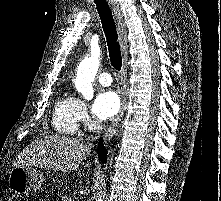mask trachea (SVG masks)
<instances>
[{
  "label": "trachea",
  "instance_id": "trachea-1",
  "mask_svg": "<svg viewBox=\"0 0 221 201\" xmlns=\"http://www.w3.org/2000/svg\"><path fill=\"white\" fill-rule=\"evenodd\" d=\"M94 1L107 39L111 65L119 71L122 66V56L113 15L105 0Z\"/></svg>",
  "mask_w": 221,
  "mask_h": 201
}]
</instances>
